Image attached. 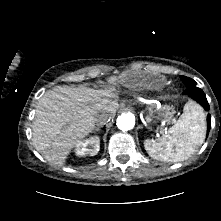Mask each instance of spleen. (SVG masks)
Segmentation results:
<instances>
[{"instance_id":"3e777b00","label":"spleen","mask_w":221,"mask_h":221,"mask_svg":"<svg viewBox=\"0 0 221 221\" xmlns=\"http://www.w3.org/2000/svg\"><path fill=\"white\" fill-rule=\"evenodd\" d=\"M206 116L200 105L188 102L180 118L169 128L167 134L157 140H145L149 156L164 162L188 159L205 139Z\"/></svg>"}]
</instances>
